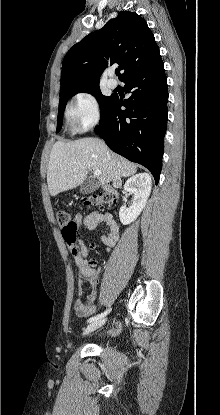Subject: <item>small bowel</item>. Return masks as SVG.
<instances>
[{
    "label": "small bowel",
    "instance_id": "1",
    "mask_svg": "<svg viewBox=\"0 0 220 415\" xmlns=\"http://www.w3.org/2000/svg\"><path fill=\"white\" fill-rule=\"evenodd\" d=\"M73 220L75 223V232L73 234H65L62 231V236L66 244L72 249L79 270V283L76 289L78 298L74 303L75 313L79 318H87L91 316L95 310L98 272L92 267L90 262L86 260L88 250L84 244V241L77 236V232L82 228L92 231L99 225L105 224L108 229V234L103 235L101 237V241L105 245L106 251H109L119 238V229L112 214L109 212H79L75 215ZM85 284L90 286V293L88 294L86 300H83ZM120 331L121 327L118 325L114 328L108 329L102 335L114 337L117 336Z\"/></svg>",
    "mask_w": 220,
    "mask_h": 415
}]
</instances>
